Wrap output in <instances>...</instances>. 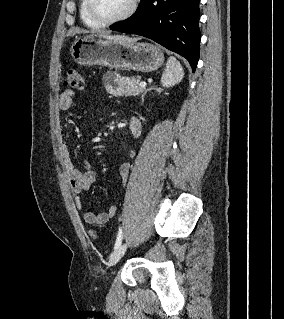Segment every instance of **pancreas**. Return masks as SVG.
Here are the masks:
<instances>
[{"label":"pancreas","instance_id":"pancreas-1","mask_svg":"<svg viewBox=\"0 0 284 319\" xmlns=\"http://www.w3.org/2000/svg\"><path fill=\"white\" fill-rule=\"evenodd\" d=\"M107 78H112V82H108ZM106 91L113 96H132L141 93L144 88L139 87L141 82L140 77H123L117 75L115 72H108L103 76Z\"/></svg>","mask_w":284,"mask_h":319}]
</instances>
